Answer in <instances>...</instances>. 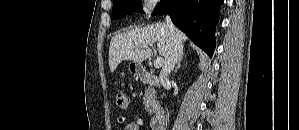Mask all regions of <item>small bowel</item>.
Here are the masks:
<instances>
[{"instance_id": "1", "label": "small bowel", "mask_w": 299, "mask_h": 130, "mask_svg": "<svg viewBox=\"0 0 299 130\" xmlns=\"http://www.w3.org/2000/svg\"><path fill=\"white\" fill-rule=\"evenodd\" d=\"M125 130H139V125L136 122L127 123L124 127Z\"/></svg>"}]
</instances>
